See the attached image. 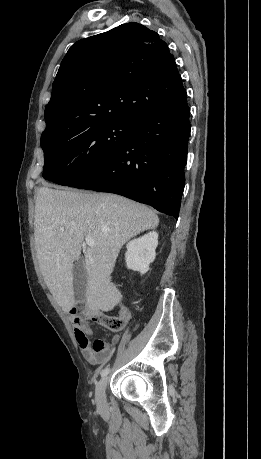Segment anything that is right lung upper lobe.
Here are the masks:
<instances>
[{"label": "right lung upper lobe", "instance_id": "1", "mask_svg": "<svg viewBox=\"0 0 261 459\" xmlns=\"http://www.w3.org/2000/svg\"><path fill=\"white\" fill-rule=\"evenodd\" d=\"M184 92L175 59L159 35L138 23L123 24L70 47L53 83L42 134L113 120L137 123Z\"/></svg>", "mask_w": 261, "mask_h": 459}]
</instances>
